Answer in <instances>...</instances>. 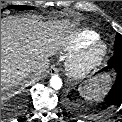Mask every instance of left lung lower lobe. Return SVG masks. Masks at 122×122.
<instances>
[{"label": "left lung lower lobe", "instance_id": "0a47b994", "mask_svg": "<svg viewBox=\"0 0 122 122\" xmlns=\"http://www.w3.org/2000/svg\"><path fill=\"white\" fill-rule=\"evenodd\" d=\"M114 69L117 73L116 81L104 99L105 107L115 106L122 103V53H115L108 61V66L103 69Z\"/></svg>", "mask_w": 122, "mask_h": 122}]
</instances>
